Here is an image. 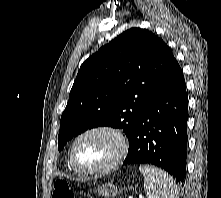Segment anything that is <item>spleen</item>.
<instances>
[{
  "label": "spleen",
  "instance_id": "3e777b00",
  "mask_svg": "<svg viewBox=\"0 0 221 198\" xmlns=\"http://www.w3.org/2000/svg\"><path fill=\"white\" fill-rule=\"evenodd\" d=\"M139 170L144 177L147 198H179L177 185L168 173L151 165H140Z\"/></svg>",
  "mask_w": 221,
  "mask_h": 198
}]
</instances>
